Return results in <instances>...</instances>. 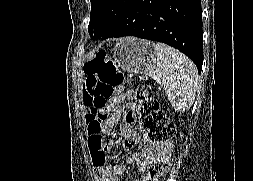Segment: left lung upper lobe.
Returning a JSON list of instances; mask_svg holds the SVG:
<instances>
[{"mask_svg":"<svg viewBox=\"0 0 253 181\" xmlns=\"http://www.w3.org/2000/svg\"><path fill=\"white\" fill-rule=\"evenodd\" d=\"M131 0H91L88 31L91 39L100 38L119 19Z\"/></svg>","mask_w":253,"mask_h":181,"instance_id":"obj_1","label":"left lung upper lobe"}]
</instances>
